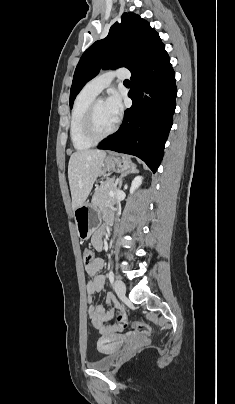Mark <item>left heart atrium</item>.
I'll list each match as a JSON object with an SVG mask.
<instances>
[{
	"label": "left heart atrium",
	"mask_w": 235,
	"mask_h": 404,
	"mask_svg": "<svg viewBox=\"0 0 235 404\" xmlns=\"http://www.w3.org/2000/svg\"><path fill=\"white\" fill-rule=\"evenodd\" d=\"M105 107L113 121L117 122L123 111L120 95L116 92H112L105 101Z\"/></svg>",
	"instance_id": "1"
}]
</instances>
